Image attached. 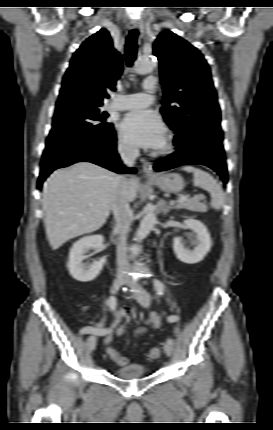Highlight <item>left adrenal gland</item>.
I'll use <instances>...</instances> for the list:
<instances>
[{
  "label": "left adrenal gland",
  "mask_w": 273,
  "mask_h": 430,
  "mask_svg": "<svg viewBox=\"0 0 273 430\" xmlns=\"http://www.w3.org/2000/svg\"><path fill=\"white\" fill-rule=\"evenodd\" d=\"M159 205L161 207L160 210L164 215L167 214L173 208L172 206L166 205L164 201H160Z\"/></svg>",
  "instance_id": "a2214340"
}]
</instances>
